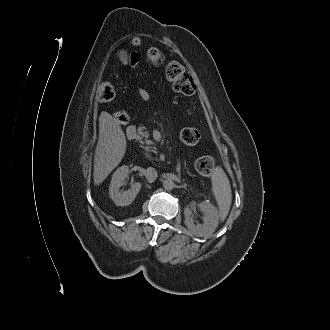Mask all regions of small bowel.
Here are the masks:
<instances>
[{
	"instance_id": "small-bowel-1",
	"label": "small bowel",
	"mask_w": 330,
	"mask_h": 330,
	"mask_svg": "<svg viewBox=\"0 0 330 330\" xmlns=\"http://www.w3.org/2000/svg\"><path fill=\"white\" fill-rule=\"evenodd\" d=\"M140 43H141L140 38H138V37L133 38V40H132V44H133L134 46H138V45H140ZM138 61H139V57H138L137 54H136V55H132V56H130L129 58H124V59H122V62H123L125 65H127L130 69L135 68V67L138 65ZM137 94H138L139 98H140L142 101H144V102L149 101L150 98H151V94H150V92H149L146 88H139L138 91H137ZM127 116H128V115H127ZM127 121H128V118H127L126 121H124V122H120V121H118V122H119V123H125V122H127Z\"/></svg>"
}]
</instances>
